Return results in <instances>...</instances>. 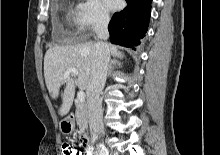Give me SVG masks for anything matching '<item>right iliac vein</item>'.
<instances>
[{
  "instance_id": "1",
  "label": "right iliac vein",
  "mask_w": 220,
  "mask_h": 155,
  "mask_svg": "<svg viewBox=\"0 0 220 155\" xmlns=\"http://www.w3.org/2000/svg\"><path fill=\"white\" fill-rule=\"evenodd\" d=\"M101 155H109L107 152L101 153Z\"/></svg>"
}]
</instances>
